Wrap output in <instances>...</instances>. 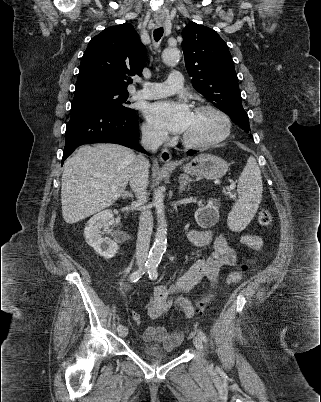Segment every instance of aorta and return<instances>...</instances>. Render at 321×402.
I'll list each match as a JSON object with an SVG mask.
<instances>
[{"label": "aorta", "instance_id": "obj_1", "mask_svg": "<svg viewBox=\"0 0 321 402\" xmlns=\"http://www.w3.org/2000/svg\"><path fill=\"white\" fill-rule=\"evenodd\" d=\"M180 56V51L177 48H166L162 53L163 62L168 66H175L180 60ZM153 205L157 216V231L147 260L149 270L157 268L167 248V221L164 210V194L160 190L154 192Z\"/></svg>", "mask_w": 321, "mask_h": 402}]
</instances>
